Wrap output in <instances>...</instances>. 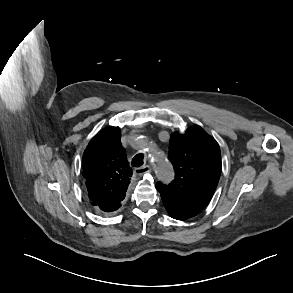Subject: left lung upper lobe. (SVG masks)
Wrapping results in <instances>:
<instances>
[{
	"instance_id": "1",
	"label": "left lung upper lobe",
	"mask_w": 293,
	"mask_h": 293,
	"mask_svg": "<svg viewBox=\"0 0 293 293\" xmlns=\"http://www.w3.org/2000/svg\"><path fill=\"white\" fill-rule=\"evenodd\" d=\"M168 157L175 179L168 186L159 182L157 190L161 196L200 213L211 200L220 178L218 143L201 127L192 126L184 134L171 135Z\"/></svg>"
}]
</instances>
